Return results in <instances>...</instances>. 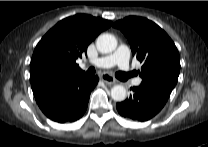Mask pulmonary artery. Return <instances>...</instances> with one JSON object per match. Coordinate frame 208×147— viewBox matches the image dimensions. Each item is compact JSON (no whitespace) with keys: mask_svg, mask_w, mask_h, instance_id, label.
Masks as SVG:
<instances>
[{"mask_svg":"<svg viewBox=\"0 0 208 147\" xmlns=\"http://www.w3.org/2000/svg\"><path fill=\"white\" fill-rule=\"evenodd\" d=\"M129 59H130V49L128 46L122 44L117 50L107 56L100 57L90 61V64L99 68H111L117 65L121 70L129 71ZM141 83L140 78H135L132 81L134 86H139Z\"/></svg>","mask_w":208,"mask_h":147,"instance_id":"pulmonary-artery-1","label":"pulmonary artery"}]
</instances>
